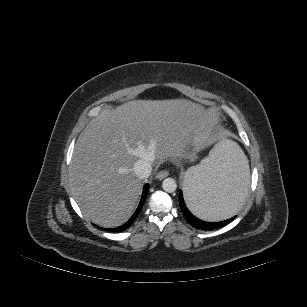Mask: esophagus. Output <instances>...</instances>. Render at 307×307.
<instances>
[{
    "label": "esophagus",
    "mask_w": 307,
    "mask_h": 307,
    "mask_svg": "<svg viewBox=\"0 0 307 307\" xmlns=\"http://www.w3.org/2000/svg\"><path fill=\"white\" fill-rule=\"evenodd\" d=\"M168 175H169V172L167 170H162V171L157 173L156 179L162 180V179L166 178Z\"/></svg>",
    "instance_id": "1"
}]
</instances>
